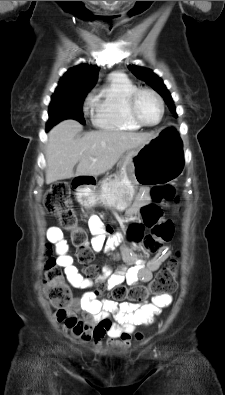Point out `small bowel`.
<instances>
[{
  "instance_id": "obj_1",
  "label": "small bowel",
  "mask_w": 225,
  "mask_h": 395,
  "mask_svg": "<svg viewBox=\"0 0 225 395\" xmlns=\"http://www.w3.org/2000/svg\"><path fill=\"white\" fill-rule=\"evenodd\" d=\"M148 203V192L141 189L133 205L127 210V218L134 220L139 211ZM93 234L91 247L95 252L111 251L117 242V237L107 240L110 230L104 226L97 215H92L88 222ZM47 239L53 244L55 254H58L56 266L64 270L69 281H72L71 292H82V296L75 299L64 311H56L55 318L60 322L65 331L84 343L93 342L100 346L105 337L107 344L115 347H128L132 338L136 341L143 339V334L136 332V327L148 325L154 321L162 308L168 307L172 302L170 294L156 295L150 302L134 304L128 302L116 303L112 300L101 299L93 280L82 278L79 267L73 263L71 244L68 237H63L58 227H49L46 231ZM171 255L168 245L162 246L150 259H144L132 250H123V259L128 268L113 272L104 268L95 282H105L107 288L125 281L129 285H138L149 282L154 273ZM81 312V317L78 313Z\"/></svg>"
}]
</instances>
